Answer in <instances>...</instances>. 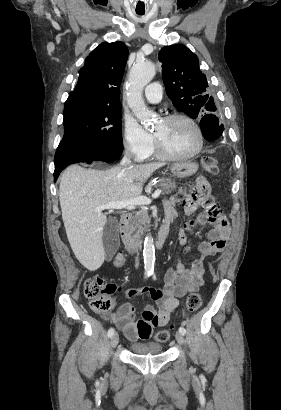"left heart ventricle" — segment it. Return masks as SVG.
Wrapping results in <instances>:
<instances>
[{
    "label": "left heart ventricle",
    "mask_w": 281,
    "mask_h": 410,
    "mask_svg": "<svg viewBox=\"0 0 281 410\" xmlns=\"http://www.w3.org/2000/svg\"><path fill=\"white\" fill-rule=\"evenodd\" d=\"M153 134L173 154H188L195 150L198 143L195 129L181 119L170 122L160 120L155 125Z\"/></svg>",
    "instance_id": "1"
}]
</instances>
